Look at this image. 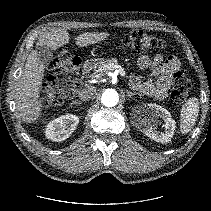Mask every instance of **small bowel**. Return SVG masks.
Segmentation results:
<instances>
[{"label": "small bowel", "instance_id": "1", "mask_svg": "<svg viewBox=\"0 0 211 211\" xmlns=\"http://www.w3.org/2000/svg\"><path fill=\"white\" fill-rule=\"evenodd\" d=\"M137 64L140 69L150 70L151 78L143 80L138 74L131 76L132 86L146 96L164 99L170 87V78L173 72L179 69L180 62L175 56L164 58L162 54L141 56Z\"/></svg>", "mask_w": 211, "mask_h": 211}]
</instances>
